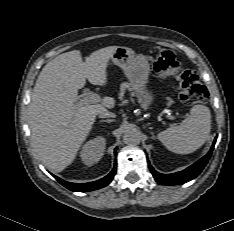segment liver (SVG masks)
<instances>
[{
	"label": "liver",
	"instance_id": "1",
	"mask_svg": "<svg viewBox=\"0 0 234 231\" xmlns=\"http://www.w3.org/2000/svg\"><path fill=\"white\" fill-rule=\"evenodd\" d=\"M118 46L96 50L85 62L79 50L58 55L40 72L29 105L31 144L43 164L61 172L75 159L101 111L115 101L105 97L101 104L76 103L86 79L93 85L107 82V65Z\"/></svg>",
	"mask_w": 234,
	"mask_h": 231
}]
</instances>
